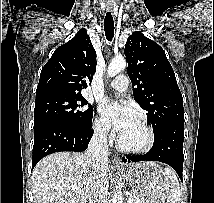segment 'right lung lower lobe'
<instances>
[{"label": "right lung lower lobe", "instance_id": "right-lung-lower-lobe-1", "mask_svg": "<svg viewBox=\"0 0 214 203\" xmlns=\"http://www.w3.org/2000/svg\"><path fill=\"white\" fill-rule=\"evenodd\" d=\"M94 130L63 122H46L34 127L32 169L46 155L61 151L83 152Z\"/></svg>", "mask_w": 214, "mask_h": 203}]
</instances>
